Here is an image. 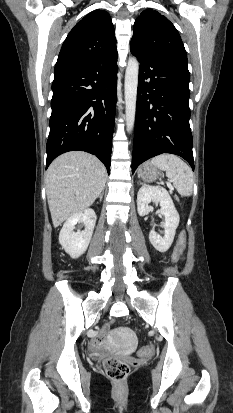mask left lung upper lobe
Wrapping results in <instances>:
<instances>
[{"label": "left lung upper lobe", "mask_w": 233, "mask_h": 413, "mask_svg": "<svg viewBox=\"0 0 233 413\" xmlns=\"http://www.w3.org/2000/svg\"><path fill=\"white\" fill-rule=\"evenodd\" d=\"M131 48L167 61L189 73L186 50L177 29L157 11L146 9L137 17Z\"/></svg>", "instance_id": "left-lung-upper-lobe-1"}]
</instances>
